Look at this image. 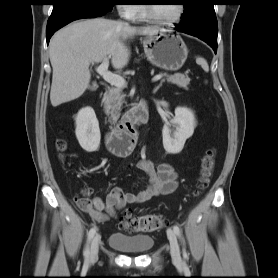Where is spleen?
Segmentation results:
<instances>
[{
    "instance_id": "1",
    "label": "spleen",
    "mask_w": 278,
    "mask_h": 278,
    "mask_svg": "<svg viewBox=\"0 0 278 278\" xmlns=\"http://www.w3.org/2000/svg\"><path fill=\"white\" fill-rule=\"evenodd\" d=\"M196 62L202 67V69L205 71V72H208L209 71V66H208V63L207 61L202 58V57H197L196 58Z\"/></svg>"
}]
</instances>
